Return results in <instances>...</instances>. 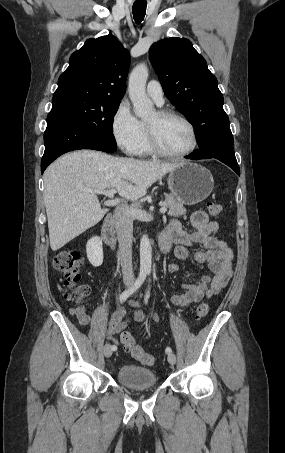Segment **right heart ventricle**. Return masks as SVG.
<instances>
[{
    "instance_id": "right-heart-ventricle-1",
    "label": "right heart ventricle",
    "mask_w": 285,
    "mask_h": 453,
    "mask_svg": "<svg viewBox=\"0 0 285 453\" xmlns=\"http://www.w3.org/2000/svg\"><path fill=\"white\" fill-rule=\"evenodd\" d=\"M154 152L152 151L149 141H148V136H147V131H146V125L142 123V137L138 146V155L146 156V155H151Z\"/></svg>"
}]
</instances>
